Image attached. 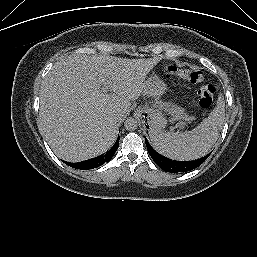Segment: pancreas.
<instances>
[{
  "mask_svg": "<svg viewBox=\"0 0 257 257\" xmlns=\"http://www.w3.org/2000/svg\"><path fill=\"white\" fill-rule=\"evenodd\" d=\"M160 109L167 111L172 115V120L186 119L187 115L185 110L175 105H169L167 103L157 102Z\"/></svg>",
  "mask_w": 257,
  "mask_h": 257,
  "instance_id": "1",
  "label": "pancreas"
}]
</instances>
